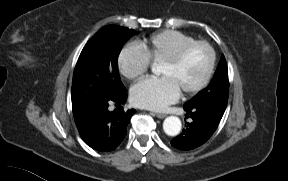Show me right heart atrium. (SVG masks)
<instances>
[{
	"mask_svg": "<svg viewBox=\"0 0 288 181\" xmlns=\"http://www.w3.org/2000/svg\"><path fill=\"white\" fill-rule=\"evenodd\" d=\"M149 63L144 51L133 43L124 46L117 58L119 72L129 80L143 76L149 68Z\"/></svg>",
	"mask_w": 288,
	"mask_h": 181,
	"instance_id": "obj_1",
	"label": "right heart atrium"
}]
</instances>
